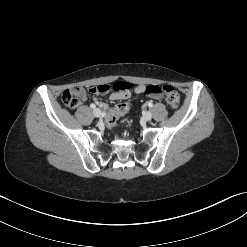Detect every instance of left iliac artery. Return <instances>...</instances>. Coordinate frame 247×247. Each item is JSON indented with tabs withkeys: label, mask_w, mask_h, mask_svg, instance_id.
Masks as SVG:
<instances>
[{
	"label": "left iliac artery",
	"mask_w": 247,
	"mask_h": 247,
	"mask_svg": "<svg viewBox=\"0 0 247 247\" xmlns=\"http://www.w3.org/2000/svg\"><path fill=\"white\" fill-rule=\"evenodd\" d=\"M148 106L152 107L153 106L152 102H148Z\"/></svg>",
	"instance_id": "1"
}]
</instances>
